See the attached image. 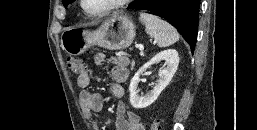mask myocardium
I'll use <instances>...</instances> for the list:
<instances>
[{"instance_id":"myocardium-1","label":"myocardium","mask_w":257,"mask_h":130,"mask_svg":"<svg viewBox=\"0 0 257 130\" xmlns=\"http://www.w3.org/2000/svg\"><path fill=\"white\" fill-rule=\"evenodd\" d=\"M132 0H116L114 3H112L110 6H108L107 8H105L104 10L100 11V12H89L86 7H85V0H80V6L82 8V10L91 17H102L114 10H117L119 8H122L124 6H126L127 4H129Z\"/></svg>"}]
</instances>
